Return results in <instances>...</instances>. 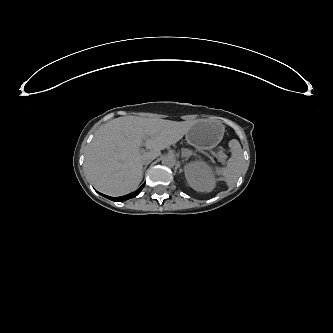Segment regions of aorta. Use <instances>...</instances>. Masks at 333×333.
<instances>
[{
	"label": "aorta",
	"instance_id": "1",
	"mask_svg": "<svg viewBox=\"0 0 333 333\" xmlns=\"http://www.w3.org/2000/svg\"><path fill=\"white\" fill-rule=\"evenodd\" d=\"M175 158L172 154H167L162 158V165L168 168H171L175 165Z\"/></svg>",
	"mask_w": 333,
	"mask_h": 333
}]
</instances>
